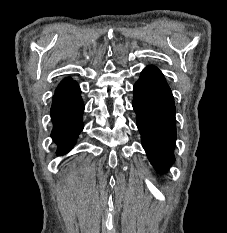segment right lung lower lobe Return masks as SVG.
<instances>
[{
	"label": "right lung lower lobe",
	"instance_id": "1",
	"mask_svg": "<svg viewBox=\"0 0 227 233\" xmlns=\"http://www.w3.org/2000/svg\"><path fill=\"white\" fill-rule=\"evenodd\" d=\"M80 93L78 84L73 81L58 89L53 96L50 111L53 122L51 136L58 146L57 153L59 155L72 149L83 129L84 105Z\"/></svg>",
	"mask_w": 227,
	"mask_h": 233
}]
</instances>
